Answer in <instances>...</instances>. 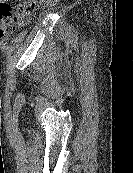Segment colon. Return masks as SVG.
Wrapping results in <instances>:
<instances>
[{"mask_svg": "<svg viewBox=\"0 0 133 173\" xmlns=\"http://www.w3.org/2000/svg\"><path fill=\"white\" fill-rule=\"evenodd\" d=\"M59 0H28L21 5L23 11H37L49 6L55 5ZM16 23V15L10 4L0 1V38L5 39V36L13 30Z\"/></svg>", "mask_w": 133, "mask_h": 173, "instance_id": "obj_1", "label": "colon"}]
</instances>
